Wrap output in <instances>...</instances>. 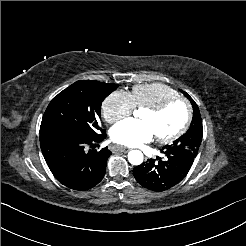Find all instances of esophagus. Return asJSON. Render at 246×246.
Masks as SVG:
<instances>
[{
  "label": "esophagus",
  "instance_id": "34e87169",
  "mask_svg": "<svg viewBox=\"0 0 246 246\" xmlns=\"http://www.w3.org/2000/svg\"><path fill=\"white\" fill-rule=\"evenodd\" d=\"M112 150L113 151H119V152H122V153H127L130 149L127 148V147H123V146H113Z\"/></svg>",
  "mask_w": 246,
  "mask_h": 246
}]
</instances>
